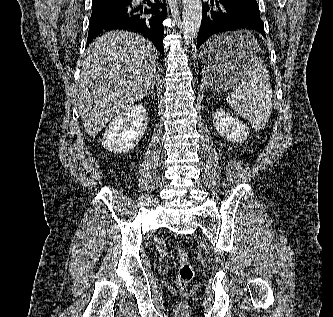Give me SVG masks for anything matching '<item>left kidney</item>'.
<instances>
[{"instance_id":"1","label":"left kidney","mask_w":333,"mask_h":317,"mask_svg":"<svg viewBox=\"0 0 333 317\" xmlns=\"http://www.w3.org/2000/svg\"><path fill=\"white\" fill-rule=\"evenodd\" d=\"M214 127L227 141L242 143L249 136V128L229 113L219 110L213 114Z\"/></svg>"}]
</instances>
